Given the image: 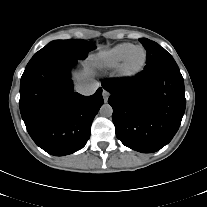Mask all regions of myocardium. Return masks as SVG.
Returning a JSON list of instances; mask_svg holds the SVG:
<instances>
[{
	"label": "myocardium",
	"mask_w": 207,
	"mask_h": 207,
	"mask_svg": "<svg viewBox=\"0 0 207 207\" xmlns=\"http://www.w3.org/2000/svg\"><path fill=\"white\" fill-rule=\"evenodd\" d=\"M137 49L142 50L143 60L139 66L131 68L128 65L129 59H130L132 53ZM146 64H147V51H146V49L141 45H134L127 52V54L123 58L122 62L120 63L118 74L121 78H125V79L134 78V77L138 76L144 70V68L146 67Z\"/></svg>",
	"instance_id": "1"
}]
</instances>
